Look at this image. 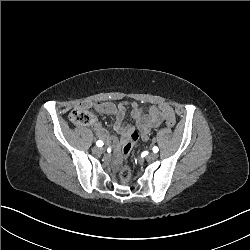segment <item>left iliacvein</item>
<instances>
[{
    "label": "left iliac vein",
    "mask_w": 250,
    "mask_h": 250,
    "mask_svg": "<svg viewBox=\"0 0 250 250\" xmlns=\"http://www.w3.org/2000/svg\"><path fill=\"white\" fill-rule=\"evenodd\" d=\"M157 158H158V155L156 153H152V154L147 156V160H149V161H154Z\"/></svg>",
    "instance_id": "4c4485c4"
}]
</instances>
